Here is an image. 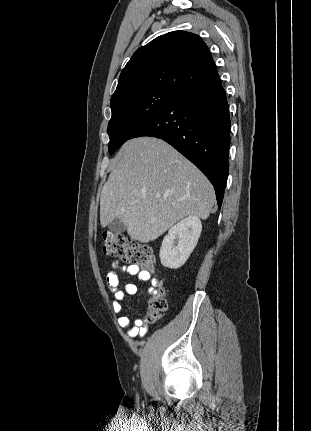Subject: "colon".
Segmentation results:
<instances>
[{"instance_id":"1","label":"colon","mask_w":311,"mask_h":431,"mask_svg":"<svg viewBox=\"0 0 311 431\" xmlns=\"http://www.w3.org/2000/svg\"><path fill=\"white\" fill-rule=\"evenodd\" d=\"M103 251L125 263L140 266L149 272L155 271V256L150 246L131 238L107 232L103 235ZM167 291L160 285L147 305L145 320L154 323L167 308Z\"/></svg>"}]
</instances>
